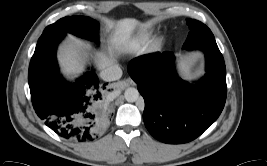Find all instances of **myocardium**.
I'll return each instance as SVG.
<instances>
[{"label": "myocardium", "instance_id": "myocardium-1", "mask_svg": "<svg viewBox=\"0 0 267 166\" xmlns=\"http://www.w3.org/2000/svg\"><path fill=\"white\" fill-rule=\"evenodd\" d=\"M160 44H161V40H156L153 44H152V46H151V49L152 50H155V49H157L159 46H160Z\"/></svg>", "mask_w": 267, "mask_h": 166}]
</instances>
